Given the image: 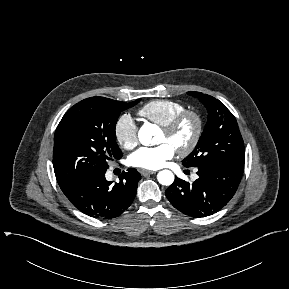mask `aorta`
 I'll list each match as a JSON object with an SVG mask.
<instances>
[{
  "label": "aorta",
  "mask_w": 289,
  "mask_h": 289,
  "mask_svg": "<svg viewBox=\"0 0 289 289\" xmlns=\"http://www.w3.org/2000/svg\"><path fill=\"white\" fill-rule=\"evenodd\" d=\"M155 134V125L144 124L139 132L138 138L142 145L149 146L153 143V135ZM157 180L161 185L170 186L174 182V174L170 170H162L157 175Z\"/></svg>",
  "instance_id": "obj_1"
}]
</instances>
